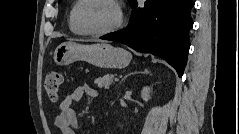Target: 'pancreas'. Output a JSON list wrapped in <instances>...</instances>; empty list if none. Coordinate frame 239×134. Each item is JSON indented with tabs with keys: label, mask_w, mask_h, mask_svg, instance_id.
<instances>
[{
	"label": "pancreas",
	"mask_w": 239,
	"mask_h": 134,
	"mask_svg": "<svg viewBox=\"0 0 239 134\" xmlns=\"http://www.w3.org/2000/svg\"><path fill=\"white\" fill-rule=\"evenodd\" d=\"M113 80H114V75L113 74H107V75L103 76L102 78H97L95 80V84H97V86L99 88L109 89V87L113 83Z\"/></svg>",
	"instance_id": "obj_1"
}]
</instances>
